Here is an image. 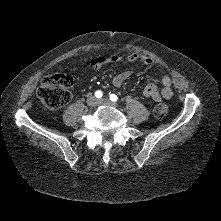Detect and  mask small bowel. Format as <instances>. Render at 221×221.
Instances as JSON below:
<instances>
[{"label": "small bowel", "mask_w": 221, "mask_h": 221, "mask_svg": "<svg viewBox=\"0 0 221 221\" xmlns=\"http://www.w3.org/2000/svg\"><path fill=\"white\" fill-rule=\"evenodd\" d=\"M122 59L123 57L119 55L99 56L91 60L90 66L91 68L98 70L104 65L117 63ZM125 59L129 62L140 61L150 67L154 65V61L150 57L136 53L127 55ZM132 74V70L122 71L113 77L112 84L115 87H120ZM161 84L162 88L158 89L155 80L150 82L142 91L143 97L152 99L155 102H160L163 99H170L173 96L171 77L168 75H163L161 77Z\"/></svg>", "instance_id": "obj_1"}]
</instances>
